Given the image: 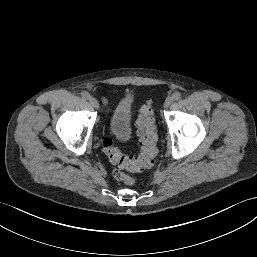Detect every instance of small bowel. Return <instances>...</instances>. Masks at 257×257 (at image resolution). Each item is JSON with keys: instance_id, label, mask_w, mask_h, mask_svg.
I'll use <instances>...</instances> for the list:
<instances>
[{"instance_id": "c3829d8e", "label": "small bowel", "mask_w": 257, "mask_h": 257, "mask_svg": "<svg viewBox=\"0 0 257 257\" xmlns=\"http://www.w3.org/2000/svg\"><path fill=\"white\" fill-rule=\"evenodd\" d=\"M103 103H104V104H107V100H106L105 98L103 99Z\"/></svg>"}]
</instances>
